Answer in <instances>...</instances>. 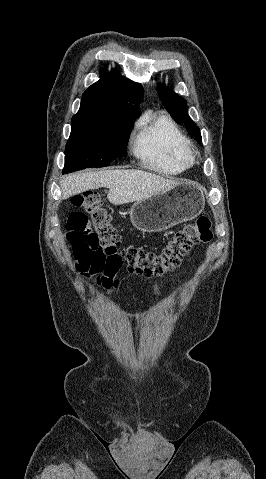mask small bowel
Wrapping results in <instances>:
<instances>
[{"instance_id":"1","label":"small bowel","mask_w":266,"mask_h":479,"mask_svg":"<svg viewBox=\"0 0 266 479\" xmlns=\"http://www.w3.org/2000/svg\"><path fill=\"white\" fill-rule=\"evenodd\" d=\"M67 238H68V237H67ZM158 289H159V288H158V285L155 284V285H154V290H155V292H158Z\"/></svg>"}]
</instances>
